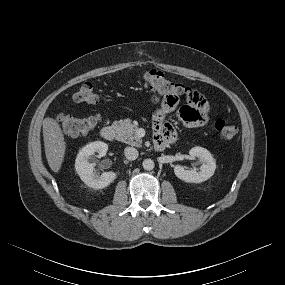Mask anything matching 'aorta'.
<instances>
[{"instance_id":"obj_1","label":"aorta","mask_w":285,"mask_h":285,"mask_svg":"<svg viewBox=\"0 0 285 285\" xmlns=\"http://www.w3.org/2000/svg\"><path fill=\"white\" fill-rule=\"evenodd\" d=\"M142 166L145 170H152L155 166L154 161L152 159H145L142 163Z\"/></svg>"}]
</instances>
